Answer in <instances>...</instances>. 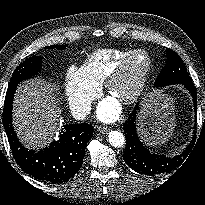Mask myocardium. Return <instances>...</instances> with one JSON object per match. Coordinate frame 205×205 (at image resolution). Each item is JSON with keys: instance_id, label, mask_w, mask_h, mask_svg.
<instances>
[{"instance_id": "myocardium-1", "label": "myocardium", "mask_w": 205, "mask_h": 205, "mask_svg": "<svg viewBox=\"0 0 205 205\" xmlns=\"http://www.w3.org/2000/svg\"><path fill=\"white\" fill-rule=\"evenodd\" d=\"M139 54H144L146 56L147 64H146V67L143 70L138 82L136 83V85L132 89V91L126 97L118 99L119 102L124 104V105H130V104L135 103L140 98L142 93L144 92V89H145L146 84L148 82V78H149V75L151 73L152 66H153V61H152L151 55L144 49L132 50L124 58H122L120 60V62L117 64V66L114 68V70L110 73V75L104 81L105 93L109 96H112L114 86L124 76L131 60Z\"/></svg>"}]
</instances>
